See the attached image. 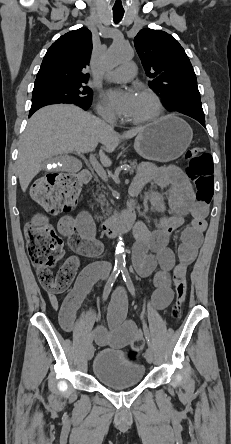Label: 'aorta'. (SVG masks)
I'll list each match as a JSON object with an SVG mask.
<instances>
[{
	"mask_svg": "<svg viewBox=\"0 0 231 444\" xmlns=\"http://www.w3.org/2000/svg\"><path fill=\"white\" fill-rule=\"evenodd\" d=\"M133 50L130 45L124 41H116L109 48L104 57V65L107 67H115L128 61L132 58ZM116 248V264L122 265L125 262L124 243L121 236H119Z\"/></svg>",
	"mask_w": 231,
	"mask_h": 444,
	"instance_id": "762f6f07",
	"label": "aorta"
}]
</instances>
